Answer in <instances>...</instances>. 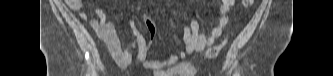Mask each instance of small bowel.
Returning <instances> with one entry per match:
<instances>
[{"label":"small bowel","instance_id":"obj_1","mask_svg":"<svg viewBox=\"0 0 333 76\" xmlns=\"http://www.w3.org/2000/svg\"><path fill=\"white\" fill-rule=\"evenodd\" d=\"M69 11H79L81 0H66ZM235 6L234 0H222L218 9L215 23L208 31H200L199 22L193 19L189 25L183 26L182 49L170 56L159 60H147L149 46L144 34L134 20L130 21L129 28L132 40L124 48L113 22L108 20L101 7L96 6V17L91 19L90 25L98 36L104 41L114 62L120 68H127L132 62V51L137 49V61L145 68L153 70L156 76H194L195 69L188 63L181 62L188 54L203 51L220 38L229 23V14ZM81 20L87 19V13L81 11ZM145 25L150 36L161 30V24L154 18L146 15Z\"/></svg>","mask_w":333,"mask_h":76}]
</instances>
